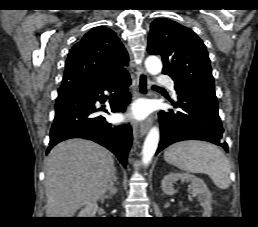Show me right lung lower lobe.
<instances>
[{"mask_svg":"<svg viewBox=\"0 0 258 227\" xmlns=\"http://www.w3.org/2000/svg\"><path fill=\"white\" fill-rule=\"evenodd\" d=\"M130 83V76L124 71L109 80H83L59 89L47 152L63 140L85 138L109 149L126 167L132 128L129 125L112 126L96 113L98 110L94 104L96 101L105 102L104 91H116L118 95L113 94L110 101L111 110L124 112L130 102Z\"/></svg>","mask_w":258,"mask_h":227,"instance_id":"obj_1","label":"right lung lower lobe"}]
</instances>
